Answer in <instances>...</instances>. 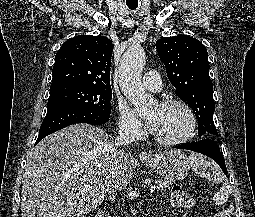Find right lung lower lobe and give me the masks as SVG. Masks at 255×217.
Masks as SVG:
<instances>
[{"instance_id": "right-lung-lower-lobe-1", "label": "right lung lower lobe", "mask_w": 255, "mask_h": 217, "mask_svg": "<svg viewBox=\"0 0 255 217\" xmlns=\"http://www.w3.org/2000/svg\"><path fill=\"white\" fill-rule=\"evenodd\" d=\"M109 120V117L100 116L90 111L82 110L69 105H55L48 107L36 143L44 137L75 123H87L101 125Z\"/></svg>"}]
</instances>
